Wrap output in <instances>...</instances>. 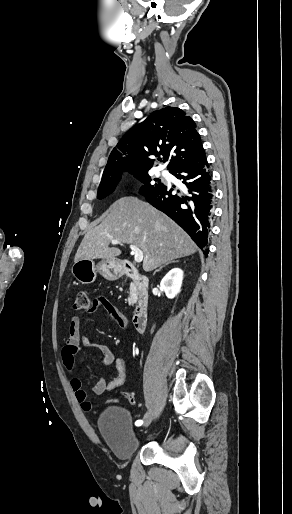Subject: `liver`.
<instances>
[{
  "label": "liver",
  "instance_id": "1",
  "mask_svg": "<svg viewBox=\"0 0 292 514\" xmlns=\"http://www.w3.org/2000/svg\"><path fill=\"white\" fill-rule=\"evenodd\" d=\"M112 240L141 248L145 272H152L170 260L191 256L197 250L196 244L173 220L132 196L114 202L100 226L85 234L75 262L120 256L121 250L109 248Z\"/></svg>",
  "mask_w": 292,
  "mask_h": 514
}]
</instances>
